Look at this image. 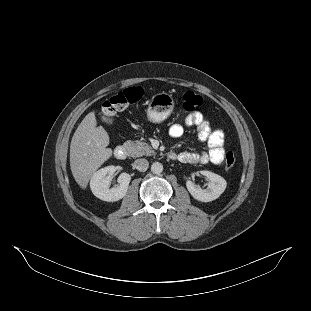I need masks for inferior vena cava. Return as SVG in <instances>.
<instances>
[{
  "mask_svg": "<svg viewBox=\"0 0 311 311\" xmlns=\"http://www.w3.org/2000/svg\"><path fill=\"white\" fill-rule=\"evenodd\" d=\"M135 167L141 172H145L149 167V162L146 159H137L135 161Z\"/></svg>",
  "mask_w": 311,
  "mask_h": 311,
  "instance_id": "1",
  "label": "inferior vena cava"
}]
</instances>
